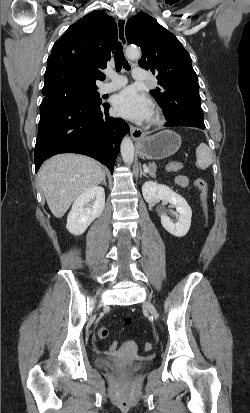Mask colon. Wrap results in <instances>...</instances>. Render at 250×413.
Returning a JSON list of instances; mask_svg holds the SVG:
<instances>
[{"instance_id": "5ec220e1", "label": "colon", "mask_w": 250, "mask_h": 413, "mask_svg": "<svg viewBox=\"0 0 250 413\" xmlns=\"http://www.w3.org/2000/svg\"><path fill=\"white\" fill-rule=\"evenodd\" d=\"M184 167V164L182 162H178V161H174V162H170L166 165V170L169 172H176L181 170ZM196 188L200 191V197H201V201H202V206H203V211H204V215L205 218L207 219L208 217V187H207V183L201 179L198 178L195 180L194 182ZM132 322L131 318H125L124 323L126 325H130ZM109 334V331L106 327H100L97 331V335L99 338H106ZM119 343V337H114V339L111 340V342L108 343V348H107V353L108 354H114L115 353V349L117 348ZM152 349V345L150 343H146L144 345V350L145 351H151Z\"/></svg>"}]
</instances>
